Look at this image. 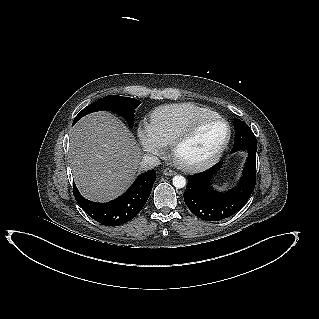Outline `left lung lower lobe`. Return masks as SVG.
Returning <instances> with one entry per match:
<instances>
[{
  "mask_svg": "<svg viewBox=\"0 0 319 319\" xmlns=\"http://www.w3.org/2000/svg\"><path fill=\"white\" fill-rule=\"evenodd\" d=\"M233 123L236 128V119ZM246 150L249 156L242 178L231 191L221 193L212 188L211 179L222 166V161L204 172L188 176L184 201L195 216L206 221H219L232 216L246 204L256 184L257 151Z\"/></svg>",
  "mask_w": 319,
  "mask_h": 319,
  "instance_id": "0a47b994",
  "label": "left lung lower lobe"
}]
</instances>
